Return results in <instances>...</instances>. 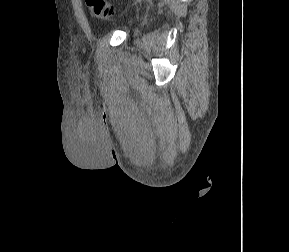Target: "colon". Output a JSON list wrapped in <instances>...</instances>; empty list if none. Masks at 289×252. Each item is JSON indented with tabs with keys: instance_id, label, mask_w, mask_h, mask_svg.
<instances>
[{
	"instance_id": "obj_1",
	"label": "colon",
	"mask_w": 289,
	"mask_h": 252,
	"mask_svg": "<svg viewBox=\"0 0 289 252\" xmlns=\"http://www.w3.org/2000/svg\"><path fill=\"white\" fill-rule=\"evenodd\" d=\"M91 14L100 19H107L115 14V9L106 0H85Z\"/></svg>"
}]
</instances>
